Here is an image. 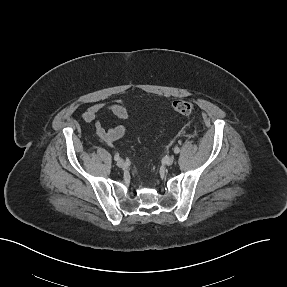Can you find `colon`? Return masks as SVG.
I'll use <instances>...</instances> for the list:
<instances>
[{
	"label": "colon",
	"instance_id": "1",
	"mask_svg": "<svg viewBox=\"0 0 287 287\" xmlns=\"http://www.w3.org/2000/svg\"><path fill=\"white\" fill-rule=\"evenodd\" d=\"M172 107L176 113L181 115H190L196 109L195 104L187 100H176L173 102Z\"/></svg>",
	"mask_w": 287,
	"mask_h": 287
}]
</instances>
